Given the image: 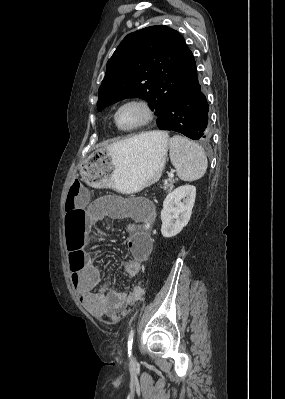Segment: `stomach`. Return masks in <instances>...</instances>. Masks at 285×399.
Instances as JSON below:
<instances>
[{
  "label": "stomach",
  "mask_w": 285,
  "mask_h": 399,
  "mask_svg": "<svg viewBox=\"0 0 285 399\" xmlns=\"http://www.w3.org/2000/svg\"><path fill=\"white\" fill-rule=\"evenodd\" d=\"M155 139L135 136L94 151L81 165L83 180L94 188H112L134 194L156 183L164 169L168 135Z\"/></svg>",
  "instance_id": "obj_1"
}]
</instances>
